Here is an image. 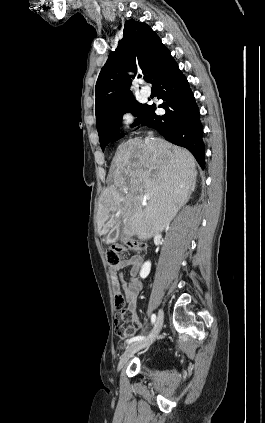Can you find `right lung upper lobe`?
Wrapping results in <instances>:
<instances>
[{
    "label": "right lung upper lobe",
    "instance_id": "right-lung-upper-lobe-1",
    "mask_svg": "<svg viewBox=\"0 0 265 423\" xmlns=\"http://www.w3.org/2000/svg\"><path fill=\"white\" fill-rule=\"evenodd\" d=\"M172 60L169 50L147 24L127 20L123 38L116 50L109 54L96 83V124L119 104L133 97L127 70L148 74L153 82Z\"/></svg>",
    "mask_w": 265,
    "mask_h": 423
}]
</instances>
